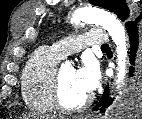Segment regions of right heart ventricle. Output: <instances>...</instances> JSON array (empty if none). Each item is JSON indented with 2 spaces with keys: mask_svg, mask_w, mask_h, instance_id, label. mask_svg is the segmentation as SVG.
<instances>
[{
  "mask_svg": "<svg viewBox=\"0 0 142 119\" xmlns=\"http://www.w3.org/2000/svg\"><path fill=\"white\" fill-rule=\"evenodd\" d=\"M61 57L51 47H40L27 61L21 78L22 97L26 105L39 112L55 110L51 98L53 77Z\"/></svg>",
  "mask_w": 142,
  "mask_h": 119,
  "instance_id": "right-heart-ventricle-1",
  "label": "right heart ventricle"
}]
</instances>
